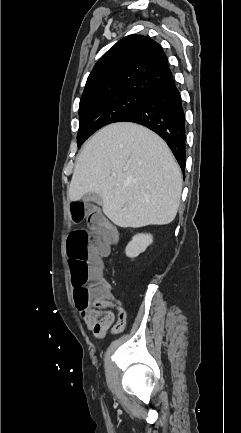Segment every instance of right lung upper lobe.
I'll return each instance as SVG.
<instances>
[{
    "mask_svg": "<svg viewBox=\"0 0 241 433\" xmlns=\"http://www.w3.org/2000/svg\"><path fill=\"white\" fill-rule=\"evenodd\" d=\"M172 77L168 59L157 42L143 35H129L96 63L80 103L126 91L147 93Z\"/></svg>",
    "mask_w": 241,
    "mask_h": 433,
    "instance_id": "right-lung-upper-lobe-1",
    "label": "right lung upper lobe"
}]
</instances>
